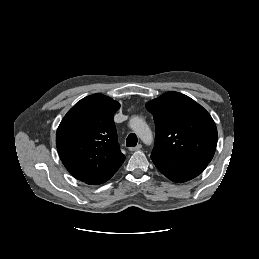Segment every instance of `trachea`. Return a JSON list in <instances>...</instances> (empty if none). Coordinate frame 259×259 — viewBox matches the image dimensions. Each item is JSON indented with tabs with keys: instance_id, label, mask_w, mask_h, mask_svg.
<instances>
[{
	"instance_id": "trachea-1",
	"label": "trachea",
	"mask_w": 259,
	"mask_h": 259,
	"mask_svg": "<svg viewBox=\"0 0 259 259\" xmlns=\"http://www.w3.org/2000/svg\"><path fill=\"white\" fill-rule=\"evenodd\" d=\"M137 142H138V138L134 133H131L128 135V137L126 139L127 147H134L137 145Z\"/></svg>"
}]
</instances>
